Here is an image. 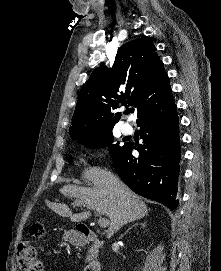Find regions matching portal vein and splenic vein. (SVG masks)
Listing matches in <instances>:
<instances>
[{
  "mask_svg": "<svg viewBox=\"0 0 221 271\" xmlns=\"http://www.w3.org/2000/svg\"><path fill=\"white\" fill-rule=\"evenodd\" d=\"M98 223L100 227H107V225H109V219H107V217H99Z\"/></svg>",
  "mask_w": 221,
  "mask_h": 271,
  "instance_id": "1",
  "label": "portal vein and splenic vein"
}]
</instances>
